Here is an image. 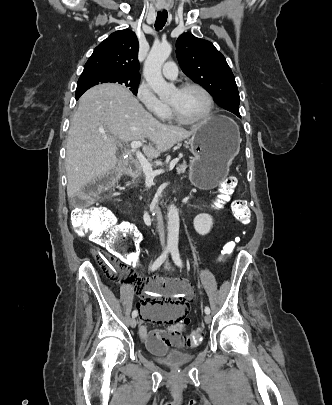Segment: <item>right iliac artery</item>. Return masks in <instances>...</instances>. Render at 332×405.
I'll return each instance as SVG.
<instances>
[{
    "label": "right iliac artery",
    "instance_id": "1",
    "mask_svg": "<svg viewBox=\"0 0 332 405\" xmlns=\"http://www.w3.org/2000/svg\"><path fill=\"white\" fill-rule=\"evenodd\" d=\"M171 251L170 248H166L164 252L154 261V263L150 267V271H155L157 268H159L162 263L166 260L168 257L169 252ZM138 315V311L134 310L132 312V317H136Z\"/></svg>",
    "mask_w": 332,
    "mask_h": 405
}]
</instances>
